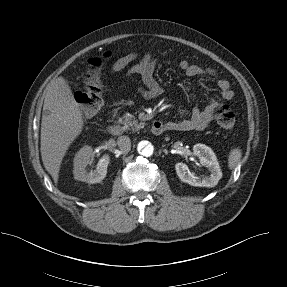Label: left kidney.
I'll return each mask as SVG.
<instances>
[{"label":"left kidney","instance_id":"5707ae66","mask_svg":"<svg viewBox=\"0 0 287 287\" xmlns=\"http://www.w3.org/2000/svg\"><path fill=\"white\" fill-rule=\"evenodd\" d=\"M193 153L200 159L202 166L209 169L211 174L203 178L196 177L189 172L188 166L185 163H177L175 165L176 173L182 182L188 183L195 187H214L222 178V172L213 150L205 144H195Z\"/></svg>","mask_w":287,"mask_h":287}]
</instances>
